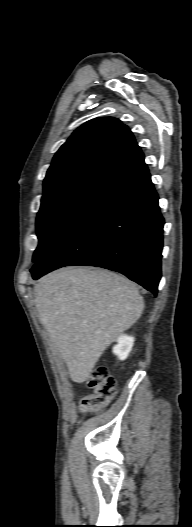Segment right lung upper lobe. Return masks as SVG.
Instances as JSON below:
<instances>
[{
  "label": "right lung upper lobe",
  "mask_w": 192,
  "mask_h": 527,
  "mask_svg": "<svg viewBox=\"0 0 192 527\" xmlns=\"http://www.w3.org/2000/svg\"><path fill=\"white\" fill-rule=\"evenodd\" d=\"M141 154L129 128L98 117L77 128L61 146L44 179V191L92 177L111 180Z\"/></svg>",
  "instance_id": "obj_1"
}]
</instances>
